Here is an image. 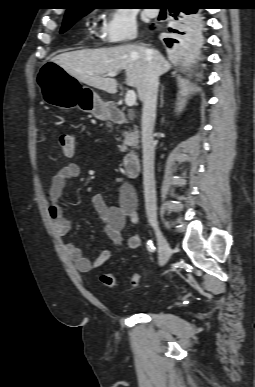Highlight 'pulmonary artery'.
<instances>
[{
  "mask_svg": "<svg viewBox=\"0 0 255 387\" xmlns=\"http://www.w3.org/2000/svg\"><path fill=\"white\" fill-rule=\"evenodd\" d=\"M146 13L151 16V17H155L158 15L159 13V10L158 9H147L146 10Z\"/></svg>",
  "mask_w": 255,
  "mask_h": 387,
  "instance_id": "pulmonary-artery-1",
  "label": "pulmonary artery"
}]
</instances>
